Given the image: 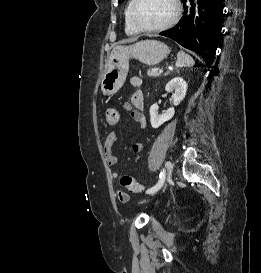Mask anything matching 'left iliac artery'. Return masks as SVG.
Returning a JSON list of instances; mask_svg holds the SVG:
<instances>
[{"label": "left iliac artery", "instance_id": "1", "mask_svg": "<svg viewBox=\"0 0 261 273\" xmlns=\"http://www.w3.org/2000/svg\"><path fill=\"white\" fill-rule=\"evenodd\" d=\"M164 178H165V175H164V169H163L162 172L160 173V179H159L158 183L155 186L149 188L146 191V193L151 194V193H154L157 190H159L162 187L163 183H164Z\"/></svg>", "mask_w": 261, "mask_h": 273}]
</instances>
